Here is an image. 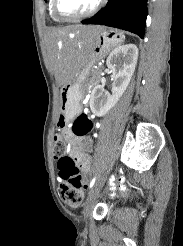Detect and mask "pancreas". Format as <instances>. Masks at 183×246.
<instances>
[{"mask_svg": "<svg viewBox=\"0 0 183 246\" xmlns=\"http://www.w3.org/2000/svg\"><path fill=\"white\" fill-rule=\"evenodd\" d=\"M98 72H99V69H97V70L93 69V70L91 71V74L93 75V74H96V73H98Z\"/></svg>", "mask_w": 183, "mask_h": 246, "instance_id": "pancreas-1", "label": "pancreas"}]
</instances>
